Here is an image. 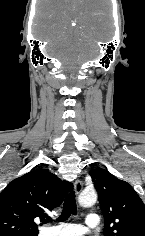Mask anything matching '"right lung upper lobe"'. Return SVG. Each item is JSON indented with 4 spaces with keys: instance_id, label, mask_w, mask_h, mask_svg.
<instances>
[{
    "instance_id": "obj_1",
    "label": "right lung upper lobe",
    "mask_w": 145,
    "mask_h": 236,
    "mask_svg": "<svg viewBox=\"0 0 145 236\" xmlns=\"http://www.w3.org/2000/svg\"><path fill=\"white\" fill-rule=\"evenodd\" d=\"M72 187L48 170L11 181L0 193V236H37L35 220L47 221Z\"/></svg>"
}]
</instances>
